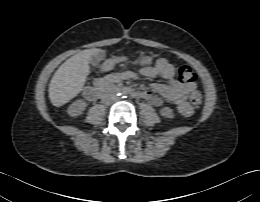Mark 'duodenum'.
<instances>
[{"mask_svg":"<svg viewBox=\"0 0 260 202\" xmlns=\"http://www.w3.org/2000/svg\"><path fill=\"white\" fill-rule=\"evenodd\" d=\"M123 91L133 97H137V93L130 88H119L114 85L112 82L101 81L98 82L94 87H88L84 89L83 95L87 100H95L99 95L107 91Z\"/></svg>","mask_w":260,"mask_h":202,"instance_id":"duodenum-1","label":"duodenum"}]
</instances>
